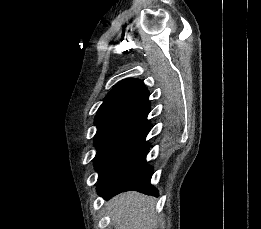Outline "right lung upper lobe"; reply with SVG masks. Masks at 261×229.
<instances>
[{"mask_svg":"<svg viewBox=\"0 0 261 229\" xmlns=\"http://www.w3.org/2000/svg\"><path fill=\"white\" fill-rule=\"evenodd\" d=\"M149 92L139 79H125L106 96L95 117V145L99 149L123 150L132 146L138 131L149 130Z\"/></svg>","mask_w":261,"mask_h":229,"instance_id":"cb5924a9","label":"right lung upper lobe"}]
</instances>
